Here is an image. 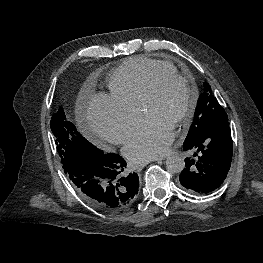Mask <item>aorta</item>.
Wrapping results in <instances>:
<instances>
[{
  "instance_id": "762f6f07",
  "label": "aorta",
  "mask_w": 263,
  "mask_h": 263,
  "mask_svg": "<svg viewBox=\"0 0 263 263\" xmlns=\"http://www.w3.org/2000/svg\"><path fill=\"white\" fill-rule=\"evenodd\" d=\"M166 167L169 172L180 173L185 167V162L181 157L172 155L167 158Z\"/></svg>"
}]
</instances>
